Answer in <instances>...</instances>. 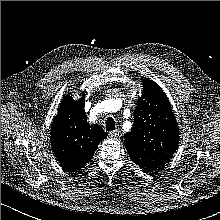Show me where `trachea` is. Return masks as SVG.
<instances>
[{"mask_svg":"<svg viewBox=\"0 0 220 220\" xmlns=\"http://www.w3.org/2000/svg\"><path fill=\"white\" fill-rule=\"evenodd\" d=\"M106 130L107 131L115 130V122L112 117H108L106 120Z\"/></svg>","mask_w":220,"mask_h":220,"instance_id":"1","label":"trachea"}]
</instances>
